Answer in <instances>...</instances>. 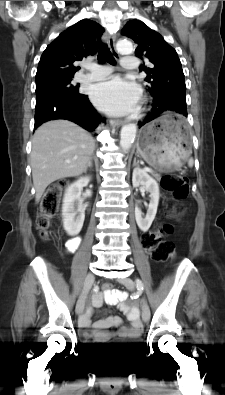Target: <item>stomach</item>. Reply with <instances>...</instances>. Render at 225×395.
Listing matches in <instances>:
<instances>
[{
	"instance_id": "obj_1",
	"label": "stomach",
	"mask_w": 225,
	"mask_h": 395,
	"mask_svg": "<svg viewBox=\"0 0 225 395\" xmlns=\"http://www.w3.org/2000/svg\"><path fill=\"white\" fill-rule=\"evenodd\" d=\"M137 151L152 167L179 168L190 156V136L181 115L165 112L141 129Z\"/></svg>"
}]
</instances>
